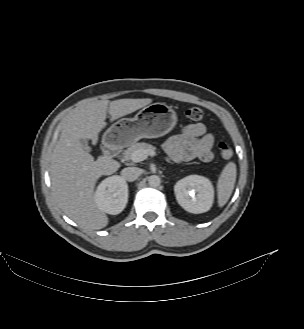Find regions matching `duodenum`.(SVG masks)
<instances>
[{"label":"duodenum","instance_id":"obj_1","mask_svg":"<svg viewBox=\"0 0 304 329\" xmlns=\"http://www.w3.org/2000/svg\"><path fill=\"white\" fill-rule=\"evenodd\" d=\"M119 150H120L119 146H117L116 144H114L112 142L106 141L103 144V154L106 157L116 156L119 153Z\"/></svg>","mask_w":304,"mask_h":329}]
</instances>
